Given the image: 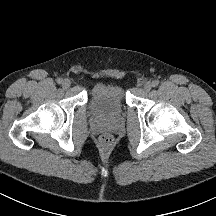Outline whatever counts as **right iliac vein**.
<instances>
[{"mask_svg":"<svg viewBox=\"0 0 216 216\" xmlns=\"http://www.w3.org/2000/svg\"><path fill=\"white\" fill-rule=\"evenodd\" d=\"M70 85H71V82H70L69 79H64V80H63V82H62V87H63V88L67 89V88L70 87Z\"/></svg>","mask_w":216,"mask_h":216,"instance_id":"1","label":"right iliac vein"}]
</instances>
